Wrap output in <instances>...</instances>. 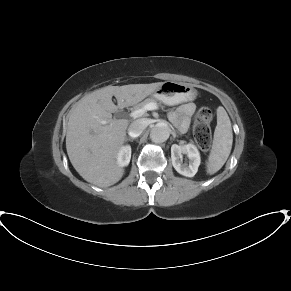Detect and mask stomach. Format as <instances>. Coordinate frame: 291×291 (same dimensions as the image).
<instances>
[{
  "instance_id": "1",
  "label": "stomach",
  "mask_w": 291,
  "mask_h": 291,
  "mask_svg": "<svg viewBox=\"0 0 291 291\" xmlns=\"http://www.w3.org/2000/svg\"><path fill=\"white\" fill-rule=\"evenodd\" d=\"M154 96L168 105H175L182 101L192 99L196 90L188 84L166 81L154 92Z\"/></svg>"
}]
</instances>
